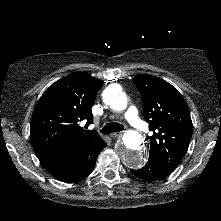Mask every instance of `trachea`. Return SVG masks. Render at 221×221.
Here are the masks:
<instances>
[{"label":"trachea","mask_w":221,"mask_h":221,"mask_svg":"<svg viewBox=\"0 0 221 221\" xmlns=\"http://www.w3.org/2000/svg\"><path fill=\"white\" fill-rule=\"evenodd\" d=\"M122 130H124V126L122 124L108 123L100 130V132L103 133V134H110L113 131L114 132H120Z\"/></svg>","instance_id":"trachea-1"}]
</instances>
